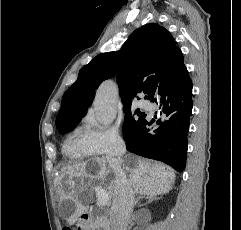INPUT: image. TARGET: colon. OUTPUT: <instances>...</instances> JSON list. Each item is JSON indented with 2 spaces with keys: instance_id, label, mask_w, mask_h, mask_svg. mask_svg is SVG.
Returning <instances> with one entry per match:
<instances>
[{
  "instance_id": "5ec220e1",
  "label": "colon",
  "mask_w": 241,
  "mask_h": 230,
  "mask_svg": "<svg viewBox=\"0 0 241 230\" xmlns=\"http://www.w3.org/2000/svg\"><path fill=\"white\" fill-rule=\"evenodd\" d=\"M63 230H72L71 228H64Z\"/></svg>"
}]
</instances>
